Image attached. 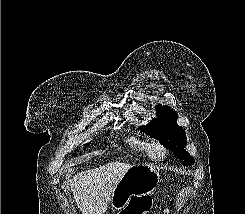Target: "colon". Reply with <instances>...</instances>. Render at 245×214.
Wrapping results in <instances>:
<instances>
[{
	"instance_id": "colon-1",
	"label": "colon",
	"mask_w": 245,
	"mask_h": 214,
	"mask_svg": "<svg viewBox=\"0 0 245 214\" xmlns=\"http://www.w3.org/2000/svg\"><path fill=\"white\" fill-rule=\"evenodd\" d=\"M151 208V200L148 198L132 199L127 208L120 214H146Z\"/></svg>"
}]
</instances>
